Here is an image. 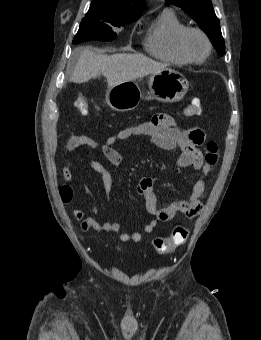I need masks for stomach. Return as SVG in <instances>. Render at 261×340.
<instances>
[{
  "instance_id": "0dacf381",
  "label": "stomach",
  "mask_w": 261,
  "mask_h": 340,
  "mask_svg": "<svg viewBox=\"0 0 261 340\" xmlns=\"http://www.w3.org/2000/svg\"><path fill=\"white\" fill-rule=\"evenodd\" d=\"M149 90L145 92L136 81H127L108 87L106 103L114 111L127 112L135 109L141 99H157L162 102L180 101L187 93L189 83L179 72L164 69L151 74L148 81Z\"/></svg>"
}]
</instances>
